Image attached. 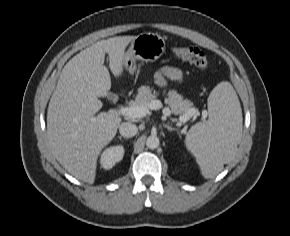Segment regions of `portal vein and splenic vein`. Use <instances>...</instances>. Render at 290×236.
<instances>
[{
  "label": "portal vein and splenic vein",
  "mask_w": 290,
  "mask_h": 236,
  "mask_svg": "<svg viewBox=\"0 0 290 236\" xmlns=\"http://www.w3.org/2000/svg\"><path fill=\"white\" fill-rule=\"evenodd\" d=\"M162 102L160 100H153L148 105H137V106H130V107H122L117 112L123 116L129 118H143L147 114L150 113V110H159L162 108ZM164 117H168L171 115V111L168 107H164L162 109ZM197 112L194 109L189 110L186 114L179 117V124L187 122L193 115ZM203 117L207 116V112H203Z\"/></svg>",
  "instance_id": "18ae733b"
}]
</instances>
